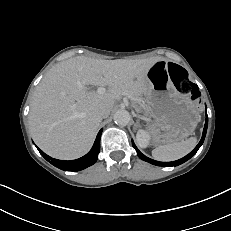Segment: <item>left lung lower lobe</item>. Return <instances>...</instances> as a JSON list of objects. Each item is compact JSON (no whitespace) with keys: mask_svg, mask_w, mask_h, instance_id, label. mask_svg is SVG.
<instances>
[{"mask_svg":"<svg viewBox=\"0 0 231 231\" xmlns=\"http://www.w3.org/2000/svg\"><path fill=\"white\" fill-rule=\"evenodd\" d=\"M207 126H208V117L206 115V122H205V126H204V129H203V134H202V138L200 140V142L198 143V145L195 147V149L190 152L188 155H186L185 157L179 159V160H176L174 162H159V161H155L153 159H150L148 157H146L145 155H143L139 150L138 148L136 147V145L134 144V142H132V145L133 147L135 148L138 156L146 161V162H149L153 165H157V166H163V167H170V166H178L184 162H186L187 160H189L192 156H194L196 154V152L198 151V149L200 148V146L203 144L204 142V139H205V136H206V132H207Z\"/></svg>","mask_w":231,"mask_h":231,"instance_id":"0a47b994","label":"left lung lower lobe"}]
</instances>
